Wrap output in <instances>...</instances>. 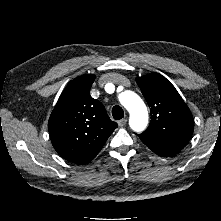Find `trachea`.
Segmentation results:
<instances>
[{
    "label": "trachea",
    "mask_w": 221,
    "mask_h": 221,
    "mask_svg": "<svg viewBox=\"0 0 221 221\" xmlns=\"http://www.w3.org/2000/svg\"><path fill=\"white\" fill-rule=\"evenodd\" d=\"M112 115L115 120H119L124 117V111L120 106L116 105L112 108Z\"/></svg>",
    "instance_id": "3493384b"
}]
</instances>
